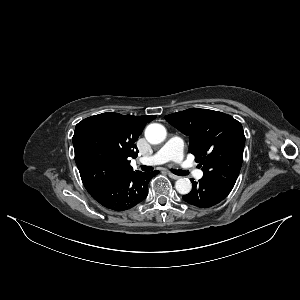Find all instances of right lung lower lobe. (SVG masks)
Masks as SVG:
<instances>
[{
    "label": "right lung lower lobe",
    "mask_w": 300,
    "mask_h": 300,
    "mask_svg": "<svg viewBox=\"0 0 300 300\" xmlns=\"http://www.w3.org/2000/svg\"><path fill=\"white\" fill-rule=\"evenodd\" d=\"M158 172H131L112 181L86 187V189L102 206L114 211H124L146 198L148 183Z\"/></svg>",
    "instance_id": "right-lung-lower-lobe-1"
}]
</instances>
